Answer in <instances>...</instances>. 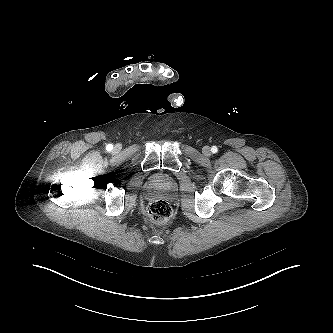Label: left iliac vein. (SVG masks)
Instances as JSON below:
<instances>
[{"instance_id":"left-iliac-vein-1","label":"left iliac vein","mask_w":333,"mask_h":333,"mask_svg":"<svg viewBox=\"0 0 333 333\" xmlns=\"http://www.w3.org/2000/svg\"><path fill=\"white\" fill-rule=\"evenodd\" d=\"M202 152L207 157L211 155V149H210L209 146H204L203 149H202Z\"/></svg>"}]
</instances>
